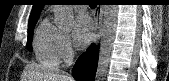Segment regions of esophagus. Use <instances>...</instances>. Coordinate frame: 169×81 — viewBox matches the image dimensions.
<instances>
[{"instance_id":"34e87169","label":"esophagus","mask_w":169,"mask_h":81,"mask_svg":"<svg viewBox=\"0 0 169 81\" xmlns=\"http://www.w3.org/2000/svg\"><path fill=\"white\" fill-rule=\"evenodd\" d=\"M102 17H103V7L101 5H98L94 12V21L96 29L93 39L94 44H96L101 37Z\"/></svg>"}]
</instances>
